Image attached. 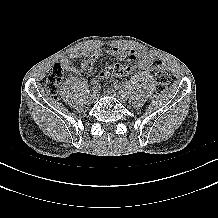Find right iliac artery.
I'll return each mask as SVG.
<instances>
[{"instance_id":"right-iliac-artery-1","label":"right iliac artery","mask_w":218,"mask_h":218,"mask_svg":"<svg viewBox=\"0 0 218 218\" xmlns=\"http://www.w3.org/2000/svg\"><path fill=\"white\" fill-rule=\"evenodd\" d=\"M99 88H100V84L97 82H93L92 92L97 93L99 91Z\"/></svg>"}]
</instances>
